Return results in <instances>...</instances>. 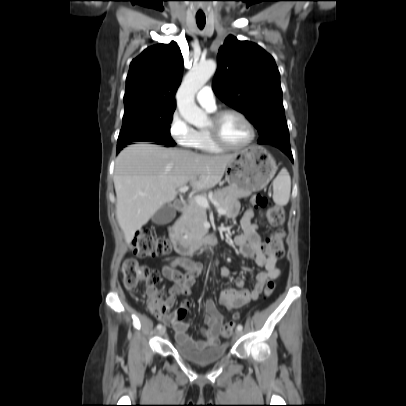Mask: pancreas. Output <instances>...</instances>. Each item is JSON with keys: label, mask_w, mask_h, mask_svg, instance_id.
Returning <instances> with one entry per match:
<instances>
[{"label": "pancreas", "mask_w": 406, "mask_h": 406, "mask_svg": "<svg viewBox=\"0 0 406 406\" xmlns=\"http://www.w3.org/2000/svg\"><path fill=\"white\" fill-rule=\"evenodd\" d=\"M250 194L249 191L229 186L215 191L212 200L222 209L229 211L234 202ZM206 220V208L199 206L195 200H191L190 204L183 210L182 216L177 222V227L183 234L195 238L206 233L207 230L204 227Z\"/></svg>", "instance_id": "obj_1"}]
</instances>
